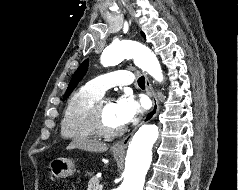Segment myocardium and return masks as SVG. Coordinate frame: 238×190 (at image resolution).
I'll return each mask as SVG.
<instances>
[{
	"label": "myocardium",
	"instance_id": "myocardium-1",
	"mask_svg": "<svg viewBox=\"0 0 238 190\" xmlns=\"http://www.w3.org/2000/svg\"><path fill=\"white\" fill-rule=\"evenodd\" d=\"M112 100L109 97H101L93 106L90 113V123L94 131L103 137H116L125 132L126 126L111 128L106 124L104 117V108L107 101Z\"/></svg>",
	"mask_w": 238,
	"mask_h": 190
}]
</instances>
